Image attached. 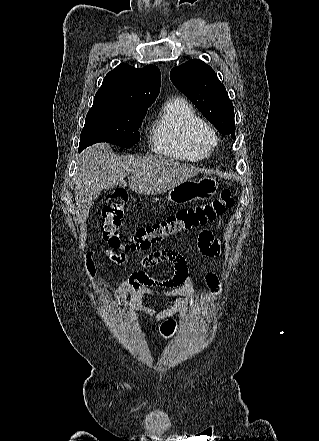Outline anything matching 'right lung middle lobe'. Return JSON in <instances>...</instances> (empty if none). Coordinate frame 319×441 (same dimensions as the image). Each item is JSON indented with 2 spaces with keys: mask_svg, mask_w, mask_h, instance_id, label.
Masks as SVG:
<instances>
[{
  "mask_svg": "<svg viewBox=\"0 0 319 441\" xmlns=\"http://www.w3.org/2000/svg\"><path fill=\"white\" fill-rule=\"evenodd\" d=\"M147 109V106H93L80 135L79 152L98 142L131 148L140 140L138 129Z\"/></svg>",
  "mask_w": 319,
  "mask_h": 441,
  "instance_id": "right-lung-middle-lobe-1",
  "label": "right lung middle lobe"
}]
</instances>
